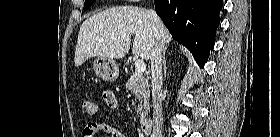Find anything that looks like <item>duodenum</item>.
Wrapping results in <instances>:
<instances>
[{"instance_id":"410a0bca","label":"duodenum","mask_w":280,"mask_h":137,"mask_svg":"<svg viewBox=\"0 0 280 137\" xmlns=\"http://www.w3.org/2000/svg\"><path fill=\"white\" fill-rule=\"evenodd\" d=\"M153 129V120L152 119H146L141 124V131L145 134H150Z\"/></svg>"}]
</instances>
